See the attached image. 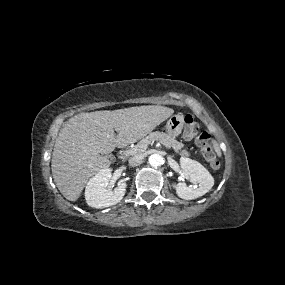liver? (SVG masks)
I'll list each match as a JSON object with an SVG mask.
<instances>
[{
    "mask_svg": "<svg viewBox=\"0 0 285 285\" xmlns=\"http://www.w3.org/2000/svg\"><path fill=\"white\" fill-rule=\"evenodd\" d=\"M173 113L165 106L146 105L71 117L52 153V176L61 194L76 201L90 177L110 166L109 159L100 154L137 142Z\"/></svg>",
    "mask_w": 285,
    "mask_h": 285,
    "instance_id": "obj_1",
    "label": "liver"
}]
</instances>
